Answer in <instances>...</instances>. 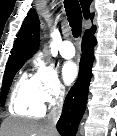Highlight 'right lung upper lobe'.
Segmentation results:
<instances>
[{"instance_id":"right-lung-upper-lobe-1","label":"right lung upper lobe","mask_w":117,"mask_h":136,"mask_svg":"<svg viewBox=\"0 0 117 136\" xmlns=\"http://www.w3.org/2000/svg\"><path fill=\"white\" fill-rule=\"evenodd\" d=\"M91 2L92 0H80L85 19H93L94 14H91L89 10ZM93 30H96L95 26L86 30V32ZM39 42V18L36 11L31 9L20 28L8 62L15 60H28L37 51Z\"/></svg>"}]
</instances>
